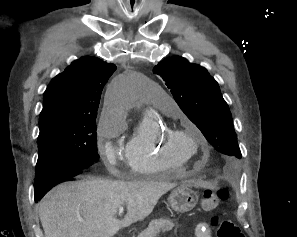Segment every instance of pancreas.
Returning <instances> with one entry per match:
<instances>
[{"instance_id":"cf45deb5","label":"pancreas","mask_w":297,"mask_h":237,"mask_svg":"<svg viewBox=\"0 0 297 237\" xmlns=\"http://www.w3.org/2000/svg\"><path fill=\"white\" fill-rule=\"evenodd\" d=\"M174 223L168 219H158L150 222L147 229L142 231L138 237H156L160 232H168L172 230Z\"/></svg>"}]
</instances>
